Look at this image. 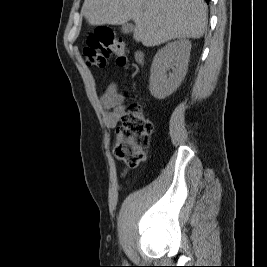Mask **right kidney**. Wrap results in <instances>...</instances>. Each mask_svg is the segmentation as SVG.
<instances>
[{
    "label": "right kidney",
    "mask_w": 267,
    "mask_h": 267,
    "mask_svg": "<svg viewBox=\"0 0 267 267\" xmlns=\"http://www.w3.org/2000/svg\"><path fill=\"white\" fill-rule=\"evenodd\" d=\"M191 42L180 39L160 49L152 62L149 90L157 99H165L180 86L184 79L190 57ZM172 70V73L168 71Z\"/></svg>",
    "instance_id": "ca27d5eb"
}]
</instances>
